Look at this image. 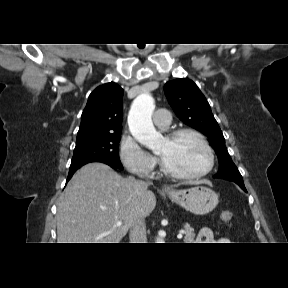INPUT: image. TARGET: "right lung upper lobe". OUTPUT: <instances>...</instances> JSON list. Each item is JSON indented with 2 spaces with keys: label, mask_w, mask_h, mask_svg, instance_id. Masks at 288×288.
<instances>
[{
  "label": "right lung upper lobe",
  "mask_w": 288,
  "mask_h": 288,
  "mask_svg": "<svg viewBox=\"0 0 288 288\" xmlns=\"http://www.w3.org/2000/svg\"><path fill=\"white\" fill-rule=\"evenodd\" d=\"M123 89L114 82L97 87L89 96L81 116L77 141L122 130Z\"/></svg>",
  "instance_id": "obj_1"
}]
</instances>
